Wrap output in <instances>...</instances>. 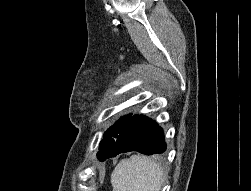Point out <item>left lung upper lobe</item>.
Returning a JSON list of instances; mask_svg holds the SVG:
<instances>
[{
  "label": "left lung upper lobe",
  "instance_id": "1",
  "mask_svg": "<svg viewBox=\"0 0 251 191\" xmlns=\"http://www.w3.org/2000/svg\"><path fill=\"white\" fill-rule=\"evenodd\" d=\"M130 117L131 114L121 117L104 133V139L100 142L99 152L97 153L100 161H104L109 157L119 133L123 130Z\"/></svg>",
  "mask_w": 251,
  "mask_h": 191
}]
</instances>
